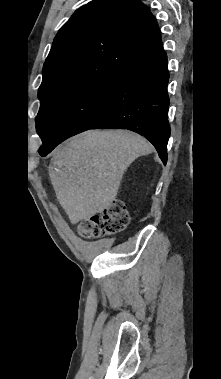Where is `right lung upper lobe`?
Wrapping results in <instances>:
<instances>
[{
  "mask_svg": "<svg viewBox=\"0 0 221 379\" xmlns=\"http://www.w3.org/2000/svg\"><path fill=\"white\" fill-rule=\"evenodd\" d=\"M163 52L157 21L140 0H93L58 31L38 97L100 75H122Z\"/></svg>",
  "mask_w": 221,
  "mask_h": 379,
  "instance_id": "cb5924a9",
  "label": "right lung upper lobe"
}]
</instances>
